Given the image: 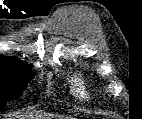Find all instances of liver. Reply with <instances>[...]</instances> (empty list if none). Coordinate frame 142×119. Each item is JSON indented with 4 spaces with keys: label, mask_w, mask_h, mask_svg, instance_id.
Instances as JSON below:
<instances>
[{
    "label": "liver",
    "mask_w": 142,
    "mask_h": 119,
    "mask_svg": "<svg viewBox=\"0 0 142 119\" xmlns=\"http://www.w3.org/2000/svg\"><path fill=\"white\" fill-rule=\"evenodd\" d=\"M42 118V119H52V118H54V116H52V115H43V116H39V115H29V116H26V118H31V119H34V118Z\"/></svg>",
    "instance_id": "liver-1"
}]
</instances>
